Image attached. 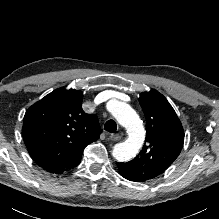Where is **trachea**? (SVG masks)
I'll return each instance as SVG.
<instances>
[{"label": "trachea", "instance_id": "3493384b", "mask_svg": "<svg viewBox=\"0 0 219 219\" xmlns=\"http://www.w3.org/2000/svg\"><path fill=\"white\" fill-rule=\"evenodd\" d=\"M104 129L107 130L108 132L113 133L117 130V124L114 120L110 119L105 123Z\"/></svg>", "mask_w": 219, "mask_h": 219}]
</instances>
